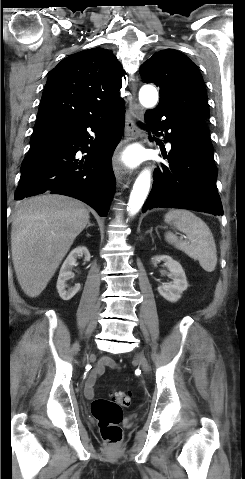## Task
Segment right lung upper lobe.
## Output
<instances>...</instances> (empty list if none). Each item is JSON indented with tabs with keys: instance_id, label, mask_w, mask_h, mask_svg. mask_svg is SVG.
Listing matches in <instances>:
<instances>
[{
	"instance_id": "obj_1",
	"label": "right lung upper lobe",
	"mask_w": 245,
	"mask_h": 479,
	"mask_svg": "<svg viewBox=\"0 0 245 479\" xmlns=\"http://www.w3.org/2000/svg\"><path fill=\"white\" fill-rule=\"evenodd\" d=\"M123 75L117 58L103 48L63 59L48 76L33 133L125 108L119 92Z\"/></svg>"
}]
</instances>
